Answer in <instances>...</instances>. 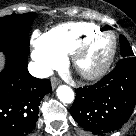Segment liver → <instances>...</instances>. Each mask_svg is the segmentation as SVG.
<instances>
[{
	"mask_svg": "<svg viewBox=\"0 0 136 136\" xmlns=\"http://www.w3.org/2000/svg\"><path fill=\"white\" fill-rule=\"evenodd\" d=\"M2 64H3V60H2V57H1V55H0V69H1V67H2Z\"/></svg>",
	"mask_w": 136,
	"mask_h": 136,
	"instance_id": "obj_1",
	"label": "liver"
}]
</instances>
